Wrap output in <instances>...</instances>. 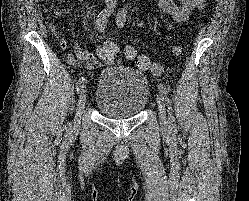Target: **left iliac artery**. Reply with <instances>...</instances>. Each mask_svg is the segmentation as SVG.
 I'll return each instance as SVG.
<instances>
[{"instance_id":"1","label":"left iliac artery","mask_w":249,"mask_h":201,"mask_svg":"<svg viewBox=\"0 0 249 201\" xmlns=\"http://www.w3.org/2000/svg\"><path fill=\"white\" fill-rule=\"evenodd\" d=\"M128 8L129 6L126 5L121 11H119V13L117 14L116 17V23L119 27H123L125 22H126V18H127V12H128ZM159 90L163 96V98L165 99L167 106H168V113H169V128L171 133H176V125H175V118L172 115V107H171V102L170 99L168 97V93H167V89L164 83H160L159 84Z\"/></svg>"}]
</instances>
